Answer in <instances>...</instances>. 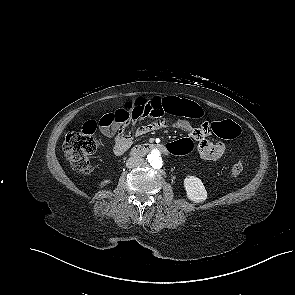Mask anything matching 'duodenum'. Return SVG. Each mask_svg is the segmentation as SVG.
<instances>
[{"mask_svg":"<svg viewBox=\"0 0 295 295\" xmlns=\"http://www.w3.org/2000/svg\"><path fill=\"white\" fill-rule=\"evenodd\" d=\"M153 150H158V151L167 153L165 150V146L163 144L145 143V144H140L133 147L131 150V154L134 156H141Z\"/></svg>","mask_w":295,"mask_h":295,"instance_id":"duodenum-1","label":"duodenum"}]
</instances>
